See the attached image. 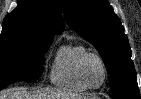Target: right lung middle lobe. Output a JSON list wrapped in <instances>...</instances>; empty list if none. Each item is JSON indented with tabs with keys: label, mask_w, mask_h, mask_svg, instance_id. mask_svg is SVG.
Returning a JSON list of instances; mask_svg holds the SVG:
<instances>
[{
	"label": "right lung middle lobe",
	"mask_w": 141,
	"mask_h": 99,
	"mask_svg": "<svg viewBox=\"0 0 141 99\" xmlns=\"http://www.w3.org/2000/svg\"><path fill=\"white\" fill-rule=\"evenodd\" d=\"M51 42L24 37H0V90L10 83L36 79Z\"/></svg>",
	"instance_id": "dd1d6c3e"
}]
</instances>
